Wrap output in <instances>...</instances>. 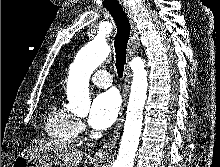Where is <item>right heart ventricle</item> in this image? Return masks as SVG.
Here are the masks:
<instances>
[{"label":"right heart ventricle","instance_id":"obj_1","mask_svg":"<svg viewBox=\"0 0 220 167\" xmlns=\"http://www.w3.org/2000/svg\"><path fill=\"white\" fill-rule=\"evenodd\" d=\"M45 131L56 143L72 146L76 143L79 134L77 118L56 100L47 113Z\"/></svg>","mask_w":220,"mask_h":167}]
</instances>
